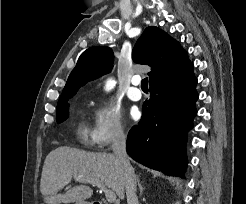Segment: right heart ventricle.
Here are the masks:
<instances>
[{
    "instance_id": "obj_1",
    "label": "right heart ventricle",
    "mask_w": 246,
    "mask_h": 204,
    "mask_svg": "<svg viewBox=\"0 0 246 204\" xmlns=\"http://www.w3.org/2000/svg\"><path fill=\"white\" fill-rule=\"evenodd\" d=\"M77 136L85 144H89L92 139H90L91 134L84 122H80L77 127Z\"/></svg>"
}]
</instances>
